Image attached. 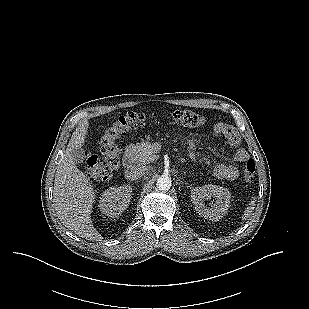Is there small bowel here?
Returning a JSON list of instances; mask_svg holds the SVG:
<instances>
[{
    "mask_svg": "<svg viewBox=\"0 0 309 309\" xmlns=\"http://www.w3.org/2000/svg\"><path fill=\"white\" fill-rule=\"evenodd\" d=\"M214 135L226 139L233 146L238 145L240 141L235 129L225 123H218L214 126ZM248 158L249 154L245 149H238L233 154L231 163H218L213 170V174L219 179L234 180L239 175V167L244 164Z\"/></svg>",
    "mask_w": 309,
    "mask_h": 309,
    "instance_id": "1",
    "label": "small bowel"
}]
</instances>
